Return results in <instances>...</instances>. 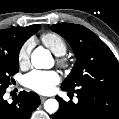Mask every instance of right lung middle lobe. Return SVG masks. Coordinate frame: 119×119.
I'll return each mask as SVG.
<instances>
[{"mask_svg": "<svg viewBox=\"0 0 119 119\" xmlns=\"http://www.w3.org/2000/svg\"><path fill=\"white\" fill-rule=\"evenodd\" d=\"M19 49L0 47V87H8L19 70Z\"/></svg>", "mask_w": 119, "mask_h": 119, "instance_id": "dd1d6c3e", "label": "right lung middle lobe"}]
</instances>
